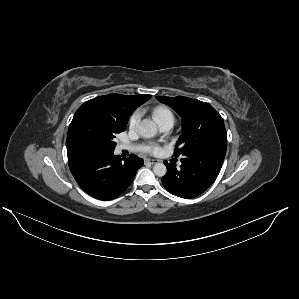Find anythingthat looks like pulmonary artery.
<instances>
[{"instance_id": "pulmonary-artery-1", "label": "pulmonary artery", "mask_w": 299, "mask_h": 299, "mask_svg": "<svg viewBox=\"0 0 299 299\" xmlns=\"http://www.w3.org/2000/svg\"><path fill=\"white\" fill-rule=\"evenodd\" d=\"M173 125H174V122H172V121H166V122H163V123L160 124L161 130L164 133L170 132L173 128ZM118 149L120 151L121 150H131V151H133V150H139L140 148L139 147L133 148V147H129V146H126V145H120L118 147Z\"/></svg>"}]
</instances>
